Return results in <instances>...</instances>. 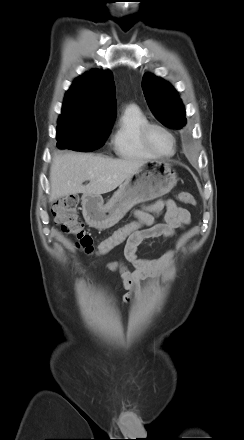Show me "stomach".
Segmentation results:
<instances>
[{
    "instance_id": "obj_1",
    "label": "stomach",
    "mask_w": 244,
    "mask_h": 440,
    "mask_svg": "<svg viewBox=\"0 0 244 440\" xmlns=\"http://www.w3.org/2000/svg\"><path fill=\"white\" fill-rule=\"evenodd\" d=\"M177 183L176 172L165 161L145 162L131 174L104 204L101 196L82 197L86 222L97 229H107L120 221L135 205L169 193Z\"/></svg>"
}]
</instances>
